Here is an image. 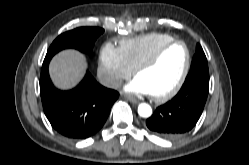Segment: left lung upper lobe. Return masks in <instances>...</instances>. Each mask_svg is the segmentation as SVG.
Instances as JSON below:
<instances>
[{
  "label": "left lung upper lobe",
  "instance_id": "obj_1",
  "mask_svg": "<svg viewBox=\"0 0 249 165\" xmlns=\"http://www.w3.org/2000/svg\"><path fill=\"white\" fill-rule=\"evenodd\" d=\"M196 75L209 76L207 59L199 44H197V51L193 57L191 69L187 78Z\"/></svg>",
  "mask_w": 249,
  "mask_h": 165
}]
</instances>
